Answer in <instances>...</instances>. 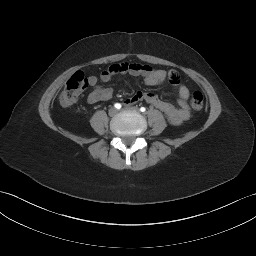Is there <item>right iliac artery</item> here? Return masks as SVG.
<instances>
[{
  "label": "right iliac artery",
  "instance_id": "1",
  "mask_svg": "<svg viewBox=\"0 0 256 256\" xmlns=\"http://www.w3.org/2000/svg\"><path fill=\"white\" fill-rule=\"evenodd\" d=\"M114 107L117 108V109H120V108H121V104H120V103H116V104L114 105Z\"/></svg>",
  "mask_w": 256,
  "mask_h": 256
}]
</instances>
